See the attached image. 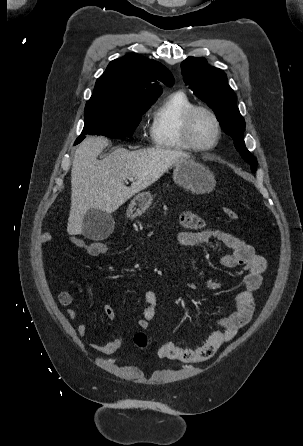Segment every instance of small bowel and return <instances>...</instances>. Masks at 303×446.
<instances>
[{
	"instance_id": "1",
	"label": "small bowel",
	"mask_w": 303,
	"mask_h": 446,
	"mask_svg": "<svg viewBox=\"0 0 303 446\" xmlns=\"http://www.w3.org/2000/svg\"><path fill=\"white\" fill-rule=\"evenodd\" d=\"M180 222L183 230L176 237L178 247H192L212 239L218 240L230 250L221 257L220 263L226 268L240 267L244 271L243 290L235 297L234 310L229 315L215 321V328L202 346L189 349L172 342H166L160 345L158 349V354L161 358L185 363H196L211 358L224 343L232 340L238 331L250 321L255 308V292L262 284V274L266 270L267 262L263 256L256 254L255 249L242 239L223 230L207 227L201 218L191 212L182 214ZM51 240L52 235L48 232H44L40 236L42 244L49 243ZM68 240L87 252L92 245L75 235L68 236ZM188 263L195 269L192 260H189ZM52 276L57 278L54 272H52ZM79 276L84 284L89 305L93 306V290L84 277L82 275ZM205 284L212 290L221 287L219 282L213 280H206ZM144 298L146 306L142 317L137 322L138 327L141 329L148 328L155 317L157 294L150 289L145 292ZM57 299L62 306H70L73 302V294L69 290H62L57 293ZM66 313L67 317L72 320L78 316L77 311L72 308L68 309ZM104 313L109 320L115 318L114 309L109 303L105 304ZM76 331L80 337H84L88 333V325L81 323L77 326ZM122 343L123 340L117 338L109 342L89 343L88 345L91 349L108 355L117 351L122 346Z\"/></svg>"
}]
</instances>
